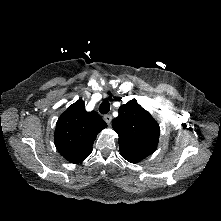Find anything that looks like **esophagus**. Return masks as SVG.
Wrapping results in <instances>:
<instances>
[{
	"label": "esophagus",
	"instance_id": "esophagus-1",
	"mask_svg": "<svg viewBox=\"0 0 221 221\" xmlns=\"http://www.w3.org/2000/svg\"><path fill=\"white\" fill-rule=\"evenodd\" d=\"M103 118H104V121H105L107 124H110L111 121H112V116H111V115H105Z\"/></svg>",
	"mask_w": 221,
	"mask_h": 221
}]
</instances>
